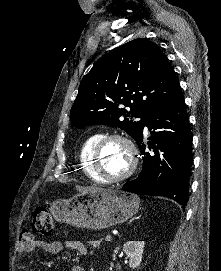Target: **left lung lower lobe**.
Segmentation results:
<instances>
[{
  "label": "left lung lower lobe",
  "mask_w": 221,
  "mask_h": 271,
  "mask_svg": "<svg viewBox=\"0 0 221 271\" xmlns=\"http://www.w3.org/2000/svg\"><path fill=\"white\" fill-rule=\"evenodd\" d=\"M144 126L154 130L148 138L152 139V145H148L154 156L145 153ZM136 142L141 148L143 168L136 179L124 184L123 190L166 196L186 206L193 161L192 133L180 85L166 104L147 117Z\"/></svg>",
  "instance_id": "obj_1"
}]
</instances>
